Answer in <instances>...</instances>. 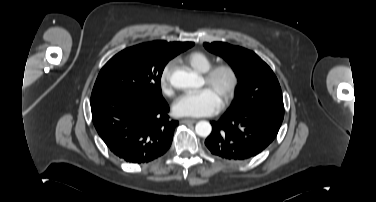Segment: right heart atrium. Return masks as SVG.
I'll return each instance as SVG.
<instances>
[{"label": "right heart atrium", "mask_w": 376, "mask_h": 202, "mask_svg": "<svg viewBox=\"0 0 376 202\" xmlns=\"http://www.w3.org/2000/svg\"><path fill=\"white\" fill-rule=\"evenodd\" d=\"M173 70L174 63L173 61H170L162 68L159 76L160 89L165 95H171L173 93V86L171 83V75Z\"/></svg>", "instance_id": "1"}]
</instances>
